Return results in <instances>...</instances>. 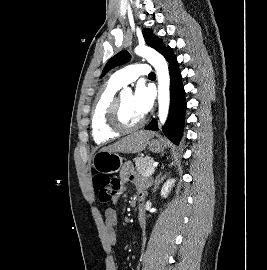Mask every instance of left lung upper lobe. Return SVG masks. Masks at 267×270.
<instances>
[{"label": "left lung upper lobe", "mask_w": 267, "mask_h": 270, "mask_svg": "<svg viewBox=\"0 0 267 270\" xmlns=\"http://www.w3.org/2000/svg\"><path fill=\"white\" fill-rule=\"evenodd\" d=\"M143 36L145 38L147 45L154 48L162 55H164L165 52L170 48V47H166L164 45V43L162 42V39L155 36L151 29H147V28L144 29ZM130 59H131V56L126 50H123V51L117 53L107 62L106 66L102 72L101 77H103L112 68L119 66V65H122V64H125L128 61H130Z\"/></svg>", "instance_id": "1"}]
</instances>
